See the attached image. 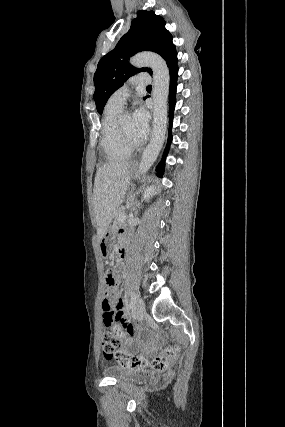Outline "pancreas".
Returning <instances> with one entry per match:
<instances>
[{"instance_id":"pancreas-1","label":"pancreas","mask_w":285,"mask_h":427,"mask_svg":"<svg viewBox=\"0 0 285 427\" xmlns=\"http://www.w3.org/2000/svg\"><path fill=\"white\" fill-rule=\"evenodd\" d=\"M124 213H125V210H124V209H119V210L116 212V217H115V220H114V227H117L118 225H120V224H121L120 217H121V215H122V214H124Z\"/></svg>"}]
</instances>
